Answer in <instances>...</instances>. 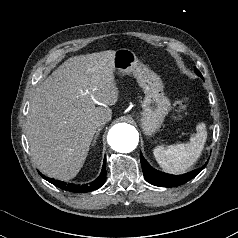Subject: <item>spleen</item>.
<instances>
[{
	"mask_svg": "<svg viewBox=\"0 0 238 238\" xmlns=\"http://www.w3.org/2000/svg\"><path fill=\"white\" fill-rule=\"evenodd\" d=\"M197 133L189 143L176 144L164 148L157 146L154 157L163 170L172 174L185 173L200 157L207 138L206 125L200 123Z\"/></svg>",
	"mask_w": 238,
	"mask_h": 238,
	"instance_id": "obj_1",
	"label": "spleen"
}]
</instances>
